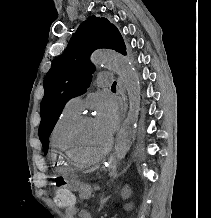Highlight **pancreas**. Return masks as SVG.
<instances>
[{"instance_id":"obj_1","label":"pancreas","mask_w":211,"mask_h":218,"mask_svg":"<svg viewBox=\"0 0 211 218\" xmlns=\"http://www.w3.org/2000/svg\"><path fill=\"white\" fill-rule=\"evenodd\" d=\"M96 187L97 186H81L79 190V198H82V200H88L92 194V190H99Z\"/></svg>"}]
</instances>
